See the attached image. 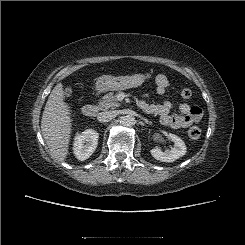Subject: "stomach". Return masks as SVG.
Returning a JSON list of instances; mask_svg holds the SVG:
<instances>
[{
  "instance_id": "1",
  "label": "stomach",
  "mask_w": 245,
  "mask_h": 245,
  "mask_svg": "<svg viewBox=\"0 0 245 245\" xmlns=\"http://www.w3.org/2000/svg\"><path fill=\"white\" fill-rule=\"evenodd\" d=\"M148 77L143 74H134L131 76H111L103 75L96 81V89L99 92L125 90L141 86Z\"/></svg>"
}]
</instances>
